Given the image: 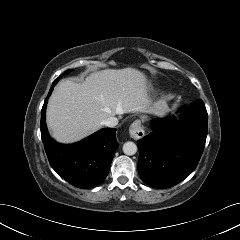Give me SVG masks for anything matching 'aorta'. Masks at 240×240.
I'll return each instance as SVG.
<instances>
[{
    "label": "aorta",
    "mask_w": 240,
    "mask_h": 240,
    "mask_svg": "<svg viewBox=\"0 0 240 240\" xmlns=\"http://www.w3.org/2000/svg\"><path fill=\"white\" fill-rule=\"evenodd\" d=\"M123 152L126 155L132 156L137 152V145L134 142L128 141L123 145Z\"/></svg>",
    "instance_id": "1"
}]
</instances>
